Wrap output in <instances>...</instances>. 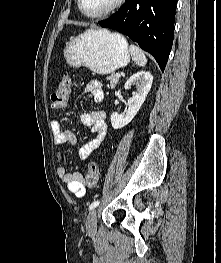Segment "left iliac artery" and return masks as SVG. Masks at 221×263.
I'll use <instances>...</instances> for the list:
<instances>
[{"label":"left iliac artery","instance_id":"44dca946","mask_svg":"<svg viewBox=\"0 0 221 263\" xmlns=\"http://www.w3.org/2000/svg\"><path fill=\"white\" fill-rule=\"evenodd\" d=\"M99 203H100L99 200L92 202L91 205L89 206V210L96 208L99 205Z\"/></svg>","mask_w":221,"mask_h":263}]
</instances>
